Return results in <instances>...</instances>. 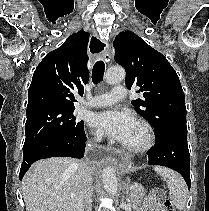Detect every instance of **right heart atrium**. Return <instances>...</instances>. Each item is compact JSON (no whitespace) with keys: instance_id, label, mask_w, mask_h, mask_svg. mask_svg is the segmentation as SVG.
<instances>
[{"instance_id":"d8ad5b80","label":"right heart atrium","mask_w":209,"mask_h":211,"mask_svg":"<svg viewBox=\"0 0 209 211\" xmlns=\"http://www.w3.org/2000/svg\"><path fill=\"white\" fill-rule=\"evenodd\" d=\"M100 140V136L99 135H95L94 136V141H99Z\"/></svg>"}]
</instances>
